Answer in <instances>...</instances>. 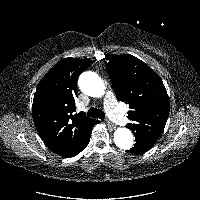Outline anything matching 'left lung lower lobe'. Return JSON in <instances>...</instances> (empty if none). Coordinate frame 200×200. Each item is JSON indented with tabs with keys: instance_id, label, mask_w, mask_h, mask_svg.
<instances>
[{
	"instance_id": "0a47b994",
	"label": "left lung lower lobe",
	"mask_w": 200,
	"mask_h": 200,
	"mask_svg": "<svg viewBox=\"0 0 200 200\" xmlns=\"http://www.w3.org/2000/svg\"><path fill=\"white\" fill-rule=\"evenodd\" d=\"M152 145L145 143V142H136L134 147L130 149L128 152L132 154H143L144 152H147Z\"/></svg>"
}]
</instances>
